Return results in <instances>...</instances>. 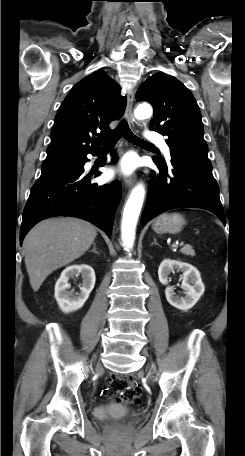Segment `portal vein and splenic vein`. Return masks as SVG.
Returning a JSON list of instances; mask_svg holds the SVG:
<instances>
[{"label": "portal vein and splenic vein", "instance_id": "18ae733b", "mask_svg": "<svg viewBox=\"0 0 245 456\" xmlns=\"http://www.w3.org/2000/svg\"><path fill=\"white\" fill-rule=\"evenodd\" d=\"M177 246H183V242L178 243Z\"/></svg>", "mask_w": 245, "mask_h": 456}]
</instances>
